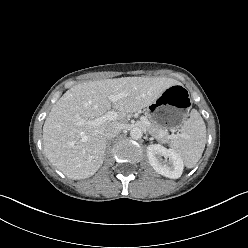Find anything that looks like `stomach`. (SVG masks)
<instances>
[{"label": "stomach", "instance_id": "stomach-1", "mask_svg": "<svg viewBox=\"0 0 248 248\" xmlns=\"http://www.w3.org/2000/svg\"><path fill=\"white\" fill-rule=\"evenodd\" d=\"M190 108L191 100L187 89L182 84H175L147 107L146 115L160 127L177 131L186 122Z\"/></svg>", "mask_w": 248, "mask_h": 248}]
</instances>
